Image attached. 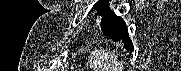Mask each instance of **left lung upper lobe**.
<instances>
[{
    "instance_id": "obj_1",
    "label": "left lung upper lobe",
    "mask_w": 181,
    "mask_h": 71,
    "mask_svg": "<svg viewBox=\"0 0 181 71\" xmlns=\"http://www.w3.org/2000/svg\"><path fill=\"white\" fill-rule=\"evenodd\" d=\"M93 9L98 11V14L103 16L105 13L110 11L109 0H99L94 6Z\"/></svg>"
}]
</instances>
